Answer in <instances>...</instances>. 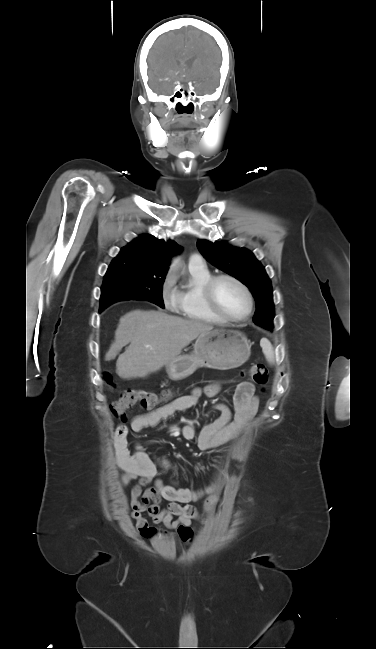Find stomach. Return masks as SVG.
Here are the masks:
<instances>
[{"label":"stomach","mask_w":376,"mask_h":649,"mask_svg":"<svg viewBox=\"0 0 376 649\" xmlns=\"http://www.w3.org/2000/svg\"><path fill=\"white\" fill-rule=\"evenodd\" d=\"M250 357L246 336L235 330H210L201 333L191 354L180 355L166 364L172 380H183L197 368L227 370L244 364Z\"/></svg>","instance_id":"0dacf381"}]
</instances>
